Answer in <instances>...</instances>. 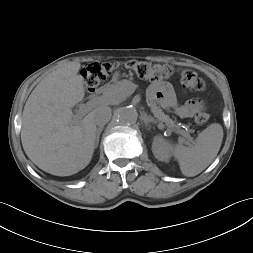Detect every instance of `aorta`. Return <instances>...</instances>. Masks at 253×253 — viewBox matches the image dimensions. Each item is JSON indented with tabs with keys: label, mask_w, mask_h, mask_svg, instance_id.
<instances>
[{
	"label": "aorta",
	"mask_w": 253,
	"mask_h": 253,
	"mask_svg": "<svg viewBox=\"0 0 253 253\" xmlns=\"http://www.w3.org/2000/svg\"><path fill=\"white\" fill-rule=\"evenodd\" d=\"M116 118L120 124L132 125L136 123L138 113L134 107L126 106L118 110Z\"/></svg>",
	"instance_id": "aorta-1"
}]
</instances>
